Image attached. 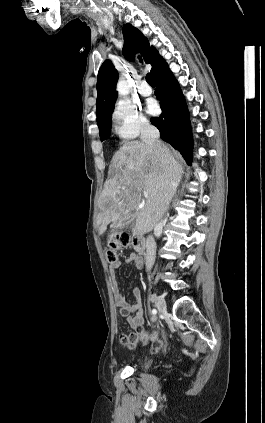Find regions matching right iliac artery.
I'll use <instances>...</instances> for the list:
<instances>
[{"label":"right iliac artery","instance_id":"82829eb1","mask_svg":"<svg viewBox=\"0 0 265 423\" xmlns=\"http://www.w3.org/2000/svg\"><path fill=\"white\" fill-rule=\"evenodd\" d=\"M156 313H157L156 309H153L152 314H156Z\"/></svg>","mask_w":265,"mask_h":423}]
</instances>
